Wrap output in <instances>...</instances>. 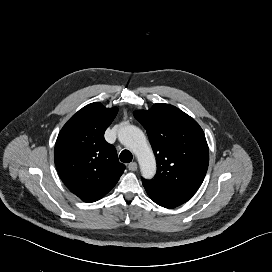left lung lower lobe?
<instances>
[{"mask_svg":"<svg viewBox=\"0 0 272 272\" xmlns=\"http://www.w3.org/2000/svg\"><path fill=\"white\" fill-rule=\"evenodd\" d=\"M143 180V186L150 198L165 208H174L187 202L193 195L180 189L159 186Z\"/></svg>","mask_w":272,"mask_h":272,"instance_id":"0a47b994","label":"left lung lower lobe"}]
</instances>
